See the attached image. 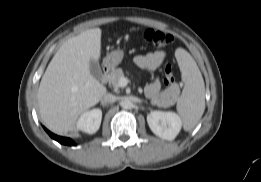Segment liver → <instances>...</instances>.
I'll list each match as a JSON object with an SVG mask.
<instances>
[{
	"label": "liver",
	"mask_w": 261,
	"mask_h": 182,
	"mask_svg": "<svg viewBox=\"0 0 261 182\" xmlns=\"http://www.w3.org/2000/svg\"><path fill=\"white\" fill-rule=\"evenodd\" d=\"M100 28L86 30L65 41L50 61L37 93L43 123L55 133L76 130L80 114L106 93L89 70L101 54Z\"/></svg>",
	"instance_id": "6515ba94"
}]
</instances>
